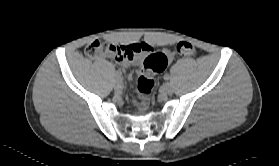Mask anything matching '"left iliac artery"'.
Here are the masks:
<instances>
[{
    "mask_svg": "<svg viewBox=\"0 0 279 166\" xmlns=\"http://www.w3.org/2000/svg\"><path fill=\"white\" fill-rule=\"evenodd\" d=\"M169 78H170V77H169L168 74H165V75H164V79H165V80H169Z\"/></svg>",
    "mask_w": 279,
    "mask_h": 166,
    "instance_id": "obj_1",
    "label": "left iliac artery"
}]
</instances>
